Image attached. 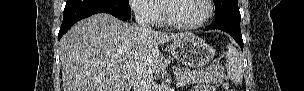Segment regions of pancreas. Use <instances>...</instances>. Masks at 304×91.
Wrapping results in <instances>:
<instances>
[{
	"label": "pancreas",
	"mask_w": 304,
	"mask_h": 91,
	"mask_svg": "<svg viewBox=\"0 0 304 91\" xmlns=\"http://www.w3.org/2000/svg\"><path fill=\"white\" fill-rule=\"evenodd\" d=\"M174 74L182 85L193 84L196 82H210L214 84H221L224 79V69L220 65L213 64L205 70L191 71L186 67H175Z\"/></svg>",
	"instance_id": "obj_1"
}]
</instances>
